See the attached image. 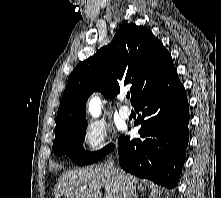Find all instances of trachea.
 I'll use <instances>...</instances> for the list:
<instances>
[{
  "label": "trachea",
  "instance_id": "trachea-1",
  "mask_svg": "<svg viewBox=\"0 0 221 198\" xmlns=\"http://www.w3.org/2000/svg\"><path fill=\"white\" fill-rule=\"evenodd\" d=\"M127 98H130V94H127Z\"/></svg>",
  "mask_w": 221,
  "mask_h": 198
}]
</instances>
